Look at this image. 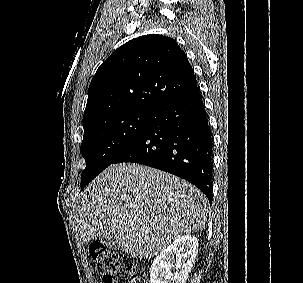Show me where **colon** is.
I'll return each instance as SVG.
<instances>
[{"label":"colon","mask_w":303,"mask_h":283,"mask_svg":"<svg viewBox=\"0 0 303 283\" xmlns=\"http://www.w3.org/2000/svg\"><path fill=\"white\" fill-rule=\"evenodd\" d=\"M89 253L103 283H147L138 266L120 252L93 242Z\"/></svg>","instance_id":"1"}]
</instances>
